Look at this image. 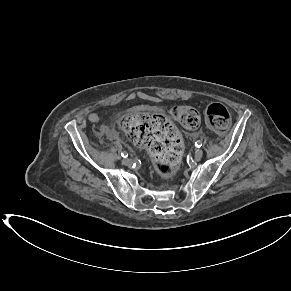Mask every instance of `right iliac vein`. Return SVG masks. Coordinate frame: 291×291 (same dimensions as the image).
Returning <instances> with one entry per match:
<instances>
[{
  "mask_svg": "<svg viewBox=\"0 0 291 291\" xmlns=\"http://www.w3.org/2000/svg\"><path fill=\"white\" fill-rule=\"evenodd\" d=\"M122 163H123L124 165H126V166H130V165L132 164V161H131V159H129V158H124V159L122 160Z\"/></svg>",
  "mask_w": 291,
  "mask_h": 291,
  "instance_id": "63e3f726",
  "label": "right iliac vein"
}]
</instances>
